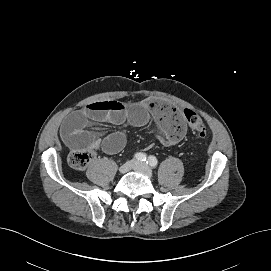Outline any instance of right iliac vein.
Segmentation results:
<instances>
[{
    "instance_id": "obj_1",
    "label": "right iliac vein",
    "mask_w": 271,
    "mask_h": 271,
    "mask_svg": "<svg viewBox=\"0 0 271 271\" xmlns=\"http://www.w3.org/2000/svg\"><path fill=\"white\" fill-rule=\"evenodd\" d=\"M136 162L135 161H127L126 163H124L120 168H119V172L120 173H126L128 171H130L131 169H134L136 166Z\"/></svg>"
}]
</instances>
